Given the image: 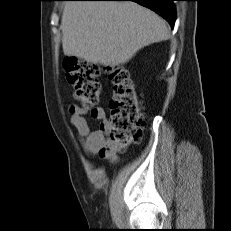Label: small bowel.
Returning a JSON list of instances; mask_svg holds the SVG:
<instances>
[{
  "instance_id": "1",
  "label": "small bowel",
  "mask_w": 231,
  "mask_h": 231,
  "mask_svg": "<svg viewBox=\"0 0 231 231\" xmlns=\"http://www.w3.org/2000/svg\"><path fill=\"white\" fill-rule=\"evenodd\" d=\"M71 124L77 131L79 142L84 151L90 155H98L109 159L112 162L117 161L115 146L107 138V133L110 129V122L107 120L102 108H94L90 111L78 106L70 107ZM100 122L99 128L92 130L86 118L87 114Z\"/></svg>"
}]
</instances>
